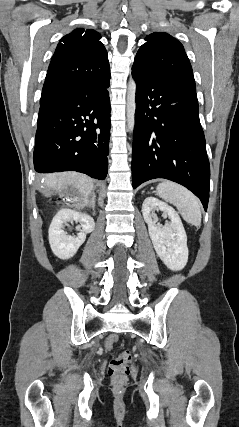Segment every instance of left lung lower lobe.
<instances>
[{"label": "left lung lower lobe", "instance_id": "1", "mask_svg": "<svg viewBox=\"0 0 239 427\" xmlns=\"http://www.w3.org/2000/svg\"><path fill=\"white\" fill-rule=\"evenodd\" d=\"M136 113L132 150L133 188L165 178L200 198L207 210L210 166L196 91L133 65Z\"/></svg>", "mask_w": 239, "mask_h": 427}]
</instances>
